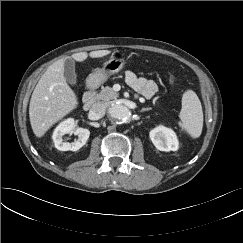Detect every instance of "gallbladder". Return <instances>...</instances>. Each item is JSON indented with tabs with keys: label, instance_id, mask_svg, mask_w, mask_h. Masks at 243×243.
I'll return each mask as SVG.
<instances>
[{
	"label": "gallbladder",
	"instance_id": "bac80fb5",
	"mask_svg": "<svg viewBox=\"0 0 243 243\" xmlns=\"http://www.w3.org/2000/svg\"><path fill=\"white\" fill-rule=\"evenodd\" d=\"M64 76L69 84L76 85L75 62L70 58H67L64 62Z\"/></svg>",
	"mask_w": 243,
	"mask_h": 243
}]
</instances>
